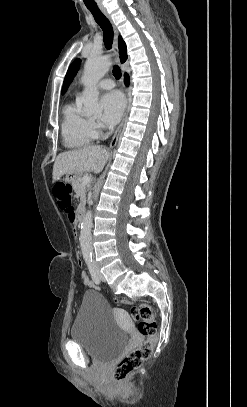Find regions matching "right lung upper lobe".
Wrapping results in <instances>:
<instances>
[{"instance_id": "obj_1", "label": "right lung upper lobe", "mask_w": 247, "mask_h": 407, "mask_svg": "<svg viewBox=\"0 0 247 407\" xmlns=\"http://www.w3.org/2000/svg\"><path fill=\"white\" fill-rule=\"evenodd\" d=\"M118 46H119L120 60L123 63L127 59V48H126V44L123 41L121 36H119Z\"/></svg>"}]
</instances>
